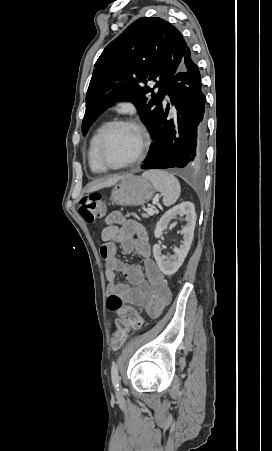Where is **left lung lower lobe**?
Instances as JSON below:
<instances>
[{
  "label": "left lung lower lobe",
  "mask_w": 272,
  "mask_h": 451,
  "mask_svg": "<svg viewBox=\"0 0 272 451\" xmlns=\"http://www.w3.org/2000/svg\"><path fill=\"white\" fill-rule=\"evenodd\" d=\"M175 106L176 114L168 117L162 109L156 122L154 143L143 169H193L205 159V103L201 75L190 48L170 80L166 93Z\"/></svg>",
  "instance_id": "obj_1"
}]
</instances>
